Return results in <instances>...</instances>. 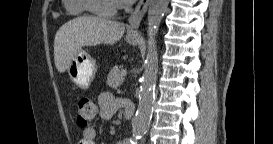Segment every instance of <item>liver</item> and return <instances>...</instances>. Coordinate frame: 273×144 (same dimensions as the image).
Wrapping results in <instances>:
<instances>
[{
    "instance_id": "1",
    "label": "liver",
    "mask_w": 273,
    "mask_h": 144,
    "mask_svg": "<svg viewBox=\"0 0 273 144\" xmlns=\"http://www.w3.org/2000/svg\"><path fill=\"white\" fill-rule=\"evenodd\" d=\"M125 31L123 23L93 16L77 17L62 25L54 39L55 66L65 72L76 53L84 46L115 44Z\"/></svg>"
}]
</instances>
